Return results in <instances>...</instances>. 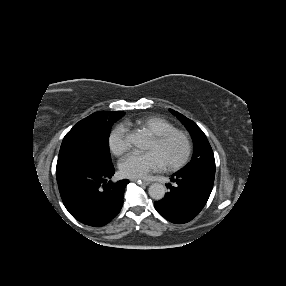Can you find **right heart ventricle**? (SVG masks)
I'll use <instances>...</instances> for the list:
<instances>
[{
	"label": "right heart ventricle",
	"mask_w": 286,
	"mask_h": 286,
	"mask_svg": "<svg viewBox=\"0 0 286 286\" xmlns=\"http://www.w3.org/2000/svg\"><path fill=\"white\" fill-rule=\"evenodd\" d=\"M135 126L148 130L153 136L177 129L171 121L161 116H149L140 119L135 122Z\"/></svg>",
	"instance_id": "right-heart-ventricle-1"
}]
</instances>
